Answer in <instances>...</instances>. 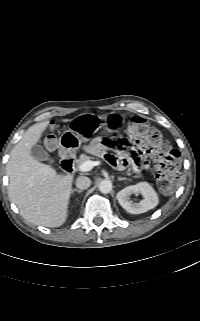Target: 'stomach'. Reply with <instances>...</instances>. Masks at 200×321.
Returning a JSON list of instances; mask_svg holds the SVG:
<instances>
[{"label":"stomach","instance_id":"obj_1","mask_svg":"<svg viewBox=\"0 0 200 321\" xmlns=\"http://www.w3.org/2000/svg\"><path fill=\"white\" fill-rule=\"evenodd\" d=\"M124 120V116L118 113H110L104 118H100L94 114L78 115L70 121L69 130L60 137V146L69 153L75 152L83 141H87L89 137L102 126H105L109 130H114L119 127ZM102 121H104V123H102Z\"/></svg>","mask_w":200,"mask_h":321}]
</instances>
